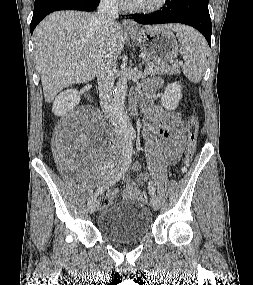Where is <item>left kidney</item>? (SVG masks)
Wrapping results in <instances>:
<instances>
[{"label":"left kidney","mask_w":253,"mask_h":285,"mask_svg":"<svg viewBox=\"0 0 253 285\" xmlns=\"http://www.w3.org/2000/svg\"><path fill=\"white\" fill-rule=\"evenodd\" d=\"M181 90L179 83L168 84L161 96V104L168 110H174L182 98Z\"/></svg>","instance_id":"1"}]
</instances>
